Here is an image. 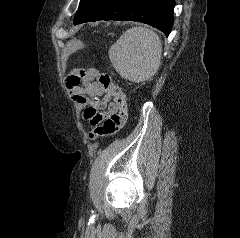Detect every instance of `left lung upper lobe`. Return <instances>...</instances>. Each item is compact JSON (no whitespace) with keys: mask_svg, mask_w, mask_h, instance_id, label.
<instances>
[{"mask_svg":"<svg viewBox=\"0 0 240 238\" xmlns=\"http://www.w3.org/2000/svg\"><path fill=\"white\" fill-rule=\"evenodd\" d=\"M90 2H91V0H81L80 1L79 8H78V11L76 13L74 20L79 18L83 14L84 10L86 9V7L88 6V4Z\"/></svg>","mask_w":240,"mask_h":238,"instance_id":"5c2ea615","label":"left lung upper lobe"}]
</instances>
